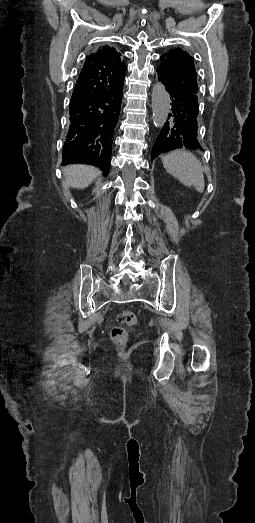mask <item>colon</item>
<instances>
[{
    "label": "colon",
    "mask_w": 255,
    "mask_h": 523,
    "mask_svg": "<svg viewBox=\"0 0 255 523\" xmlns=\"http://www.w3.org/2000/svg\"><path fill=\"white\" fill-rule=\"evenodd\" d=\"M116 321L121 326H116L111 330L112 340L119 346H124L127 344L129 335L124 326H134L138 323V317L136 314L129 310L121 311L117 317Z\"/></svg>",
    "instance_id": "colon-1"
}]
</instances>
